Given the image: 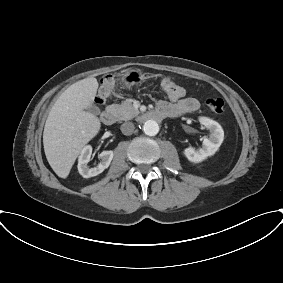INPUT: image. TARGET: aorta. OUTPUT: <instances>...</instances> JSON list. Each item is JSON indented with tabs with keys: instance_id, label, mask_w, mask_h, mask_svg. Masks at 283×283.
Instances as JSON below:
<instances>
[{
	"instance_id": "1",
	"label": "aorta",
	"mask_w": 283,
	"mask_h": 283,
	"mask_svg": "<svg viewBox=\"0 0 283 283\" xmlns=\"http://www.w3.org/2000/svg\"><path fill=\"white\" fill-rule=\"evenodd\" d=\"M144 133L148 136H155L159 132V125L154 120H147L143 125Z\"/></svg>"
}]
</instances>
